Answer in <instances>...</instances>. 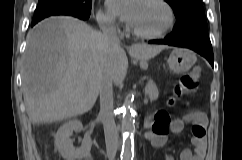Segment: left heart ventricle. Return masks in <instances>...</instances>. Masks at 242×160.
<instances>
[{"label":"left heart ventricle","mask_w":242,"mask_h":160,"mask_svg":"<svg viewBox=\"0 0 242 160\" xmlns=\"http://www.w3.org/2000/svg\"><path fill=\"white\" fill-rule=\"evenodd\" d=\"M168 21L167 10L152 0H141L134 20L133 28L144 33H154L161 30Z\"/></svg>","instance_id":"1"}]
</instances>
